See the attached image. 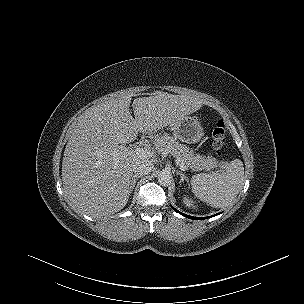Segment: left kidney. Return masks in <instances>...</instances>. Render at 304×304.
<instances>
[{
    "instance_id": "5707ae66",
    "label": "left kidney",
    "mask_w": 304,
    "mask_h": 304,
    "mask_svg": "<svg viewBox=\"0 0 304 304\" xmlns=\"http://www.w3.org/2000/svg\"><path fill=\"white\" fill-rule=\"evenodd\" d=\"M183 203H184V205H185L186 207H188V208H192V209H195V208H196L195 205H194L193 200L190 199V198L187 197V196H185V197L183 198Z\"/></svg>"
}]
</instances>
